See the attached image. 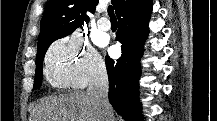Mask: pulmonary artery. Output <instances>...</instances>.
<instances>
[{"label": "pulmonary artery", "mask_w": 217, "mask_h": 121, "mask_svg": "<svg viewBox=\"0 0 217 121\" xmlns=\"http://www.w3.org/2000/svg\"><path fill=\"white\" fill-rule=\"evenodd\" d=\"M97 26L102 31H108L111 28V23L107 18L102 17V18L98 19Z\"/></svg>", "instance_id": "e3ab8cb5"}]
</instances>
